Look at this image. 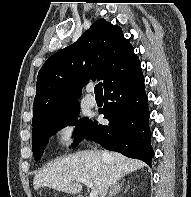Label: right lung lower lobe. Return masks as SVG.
Wrapping results in <instances>:
<instances>
[{
    "mask_svg": "<svg viewBox=\"0 0 191 197\" xmlns=\"http://www.w3.org/2000/svg\"><path fill=\"white\" fill-rule=\"evenodd\" d=\"M105 104L99 110L109 120L104 126L92 122L86 139L151 165L154 152L149 129V108L141 65L104 88Z\"/></svg>",
    "mask_w": 191,
    "mask_h": 197,
    "instance_id": "98d812e1",
    "label": "right lung lower lobe"
}]
</instances>
